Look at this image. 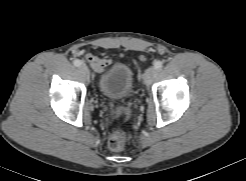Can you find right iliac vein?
Wrapping results in <instances>:
<instances>
[{
    "instance_id": "right-iliac-vein-1",
    "label": "right iliac vein",
    "mask_w": 246,
    "mask_h": 181,
    "mask_svg": "<svg viewBox=\"0 0 246 181\" xmlns=\"http://www.w3.org/2000/svg\"><path fill=\"white\" fill-rule=\"evenodd\" d=\"M79 70L82 74H84L85 76H89V69L87 68L86 65L82 64L79 66Z\"/></svg>"
}]
</instances>
